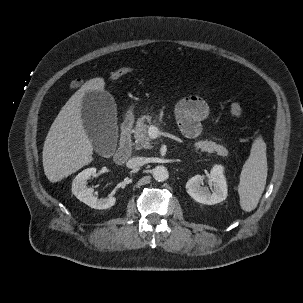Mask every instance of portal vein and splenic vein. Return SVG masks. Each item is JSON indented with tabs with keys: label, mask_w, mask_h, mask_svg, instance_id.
<instances>
[{
	"label": "portal vein and splenic vein",
	"mask_w": 303,
	"mask_h": 303,
	"mask_svg": "<svg viewBox=\"0 0 303 303\" xmlns=\"http://www.w3.org/2000/svg\"><path fill=\"white\" fill-rule=\"evenodd\" d=\"M148 134L151 138H156L159 134V130L157 127L155 126H150L149 129H148Z\"/></svg>",
	"instance_id": "portal-vein-and-splenic-vein-1"
}]
</instances>
